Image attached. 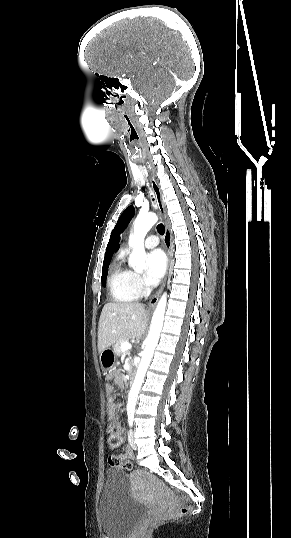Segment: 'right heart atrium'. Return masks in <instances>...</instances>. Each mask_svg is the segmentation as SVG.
I'll return each instance as SVG.
<instances>
[{
    "instance_id": "right-heart-atrium-1",
    "label": "right heart atrium",
    "mask_w": 291,
    "mask_h": 538,
    "mask_svg": "<svg viewBox=\"0 0 291 538\" xmlns=\"http://www.w3.org/2000/svg\"><path fill=\"white\" fill-rule=\"evenodd\" d=\"M135 280H136V284H137L139 290L143 291L145 289V284H144L142 278L138 274H135Z\"/></svg>"
}]
</instances>
